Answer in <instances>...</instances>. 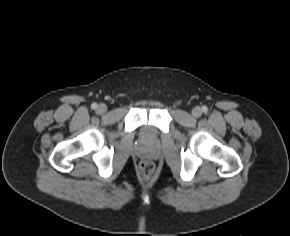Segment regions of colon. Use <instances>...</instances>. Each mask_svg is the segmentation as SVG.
Listing matches in <instances>:
<instances>
[{"mask_svg": "<svg viewBox=\"0 0 290 236\" xmlns=\"http://www.w3.org/2000/svg\"><path fill=\"white\" fill-rule=\"evenodd\" d=\"M154 164L150 161H141L139 164V172L144 177H149L154 172Z\"/></svg>", "mask_w": 290, "mask_h": 236, "instance_id": "1", "label": "colon"}]
</instances>
